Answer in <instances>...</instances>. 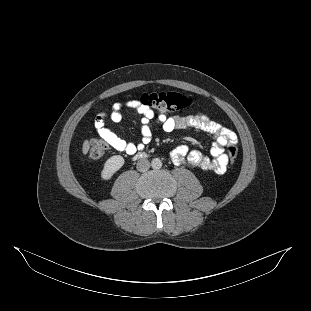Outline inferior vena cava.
I'll return each mask as SVG.
<instances>
[{
	"label": "inferior vena cava",
	"instance_id": "602c4592",
	"mask_svg": "<svg viewBox=\"0 0 311 311\" xmlns=\"http://www.w3.org/2000/svg\"><path fill=\"white\" fill-rule=\"evenodd\" d=\"M151 167L150 161L147 159H140L137 162L136 168L140 172H145Z\"/></svg>",
	"mask_w": 311,
	"mask_h": 311
}]
</instances>
